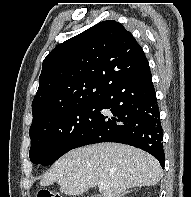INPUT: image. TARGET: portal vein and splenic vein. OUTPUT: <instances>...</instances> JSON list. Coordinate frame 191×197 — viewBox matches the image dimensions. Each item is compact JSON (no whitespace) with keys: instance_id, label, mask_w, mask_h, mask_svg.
I'll return each instance as SVG.
<instances>
[{"instance_id":"18ae733b","label":"portal vein and splenic vein","mask_w":191,"mask_h":197,"mask_svg":"<svg viewBox=\"0 0 191 197\" xmlns=\"http://www.w3.org/2000/svg\"><path fill=\"white\" fill-rule=\"evenodd\" d=\"M98 187H99V189H105L108 187V185H105L103 182H99Z\"/></svg>"}]
</instances>
